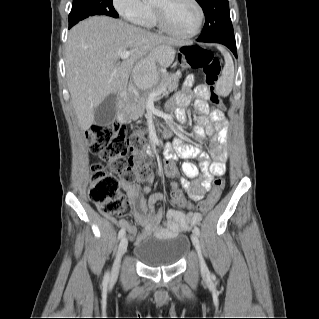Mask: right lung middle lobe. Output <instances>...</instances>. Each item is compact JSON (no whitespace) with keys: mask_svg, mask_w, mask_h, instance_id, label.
<instances>
[{"mask_svg":"<svg viewBox=\"0 0 319 319\" xmlns=\"http://www.w3.org/2000/svg\"><path fill=\"white\" fill-rule=\"evenodd\" d=\"M93 15L118 17L113 7V0H73L69 14V27L71 28L80 20Z\"/></svg>","mask_w":319,"mask_h":319,"instance_id":"obj_1","label":"right lung middle lobe"}]
</instances>
